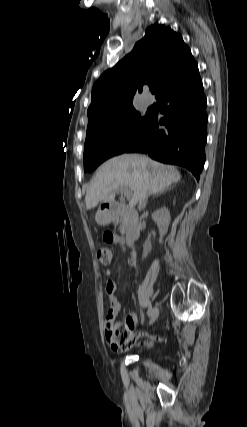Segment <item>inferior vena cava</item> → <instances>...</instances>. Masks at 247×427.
<instances>
[{
  "instance_id": "inferior-vena-cava-1",
  "label": "inferior vena cava",
  "mask_w": 247,
  "mask_h": 427,
  "mask_svg": "<svg viewBox=\"0 0 247 427\" xmlns=\"http://www.w3.org/2000/svg\"><path fill=\"white\" fill-rule=\"evenodd\" d=\"M150 193H146L139 201H138V209L141 210L146 206L147 199Z\"/></svg>"
}]
</instances>
